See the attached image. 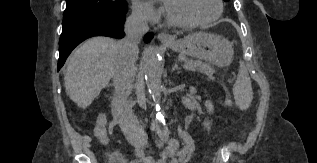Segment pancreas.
<instances>
[{"label":"pancreas","instance_id":"pancreas-1","mask_svg":"<svg viewBox=\"0 0 317 163\" xmlns=\"http://www.w3.org/2000/svg\"><path fill=\"white\" fill-rule=\"evenodd\" d=\"M184 61V67H186L188 70L192 71H200L202 73H205L209 78H213V73L215 72L214 68L209 64L202 62L201 60H192L188 58H183Z\"/></svg>","mask_w":317,"mask_h":163}]
</instances>
